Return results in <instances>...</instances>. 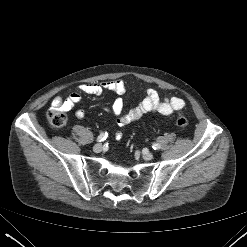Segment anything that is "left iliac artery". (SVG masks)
<instances>
[{"instance_id": "obj_1", "label": "left iliac artery", "mask_w": 247, "mask_h": 247, "mask_svg": "<svg viewBox=\"0 0 247 247\" xmlns=\"http://www.w3.org/2000/svg\"><path fill=\"white\" fill-rule=\"evenodd\" d=\"M152 148H153L154 150H159V149L161 148V146H160L158 143H154V144L152 145Z\"/></svg>"}]
</instances>
